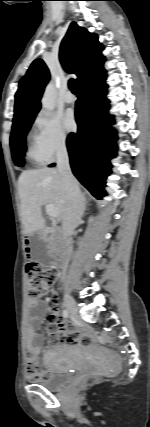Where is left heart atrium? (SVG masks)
Instances as JSON below:
<instances>
[{
	"mask_svg": "<svg viewBox=\"0 0 150 427\" xmlns=\"http://www.w3.org/2000/svg\"><path fill=\"white\" fill-rule=\"evenodd\" d=\"M63 125L67 131H72L76 127L75 117L71 111H68L63 116Z\"/></svg>",
	"mask_w": 150,
	"mask_h": 427,
	"instance_id": "39dd6f15",
	"label": "left heart atrium"
}]
</instances>
